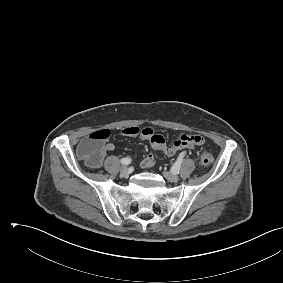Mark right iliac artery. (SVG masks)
Masks as SVG:
<instances>
[{
    "label": "right iliac artery",
    "mask_w": 283,
    "mask_h": 283,
    "mask_svg": "<svg viewBox=\"0 0 283 283\" xmlns=\"http://www.w3.org/2000/svg\"><path fill=\"white\" fill-rule=\"evenodd\" d=\"M130 163H131V158H129V157H125V158L121 159V164L122 165H128Z\"/></svg>",
    "instance_id": "82829eb1"
}]
</instances>
